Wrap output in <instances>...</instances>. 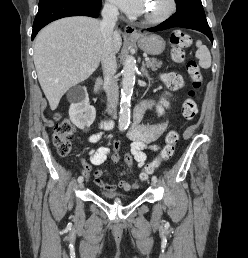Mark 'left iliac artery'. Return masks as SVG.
I'll list each match as a JSON object with an SVG mask.
<instances>
[{
    "label": "left iliac artery",
    "instance_id": "44dca946",
    "mask_svg": "<svg viewBox=\"0 0 248 258\" xmlns=\"http://www.w3.org/2000/svg\"><path fill=\"white\" fill-rule=\"evenodd\" d=\"M152 181L157 182V177L156 176H152Z\"/></svg>",
    "mask_w": 248,
    "mask_h": 258
}]
</instances>
